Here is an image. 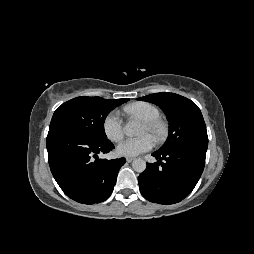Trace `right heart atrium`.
I'll use <instances>...</instances> for the list:
<instances>
[{
    "label": "right heart atrium",
    "mask_w": 254,
    "mask_h": 254,
    "mask_svg": "<svg viewBox=\"0 0 254 254\" xmlns=\"http://www.w3.org/2000/svg\"><path fill=\"white\" fill-rule=\"evenodd\" d=\"M102 128L109 140L119 142L124 136V126L120 113L115 110L109 112L103 119Z\"/></svg>",
    "instance_id": "d8ad5b80"
}]
</instances>
